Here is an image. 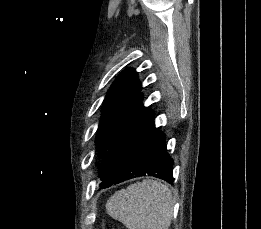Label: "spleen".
<instances>
[{
  "mask_svg": "<svg viewBox=\"0 0 261 229\" xmlns=\"http://www.w3.org/2000/svg\"><path fill=\"white\" fill-rule=\"evenodd\" d=\"M106 211L127 229H169L173 195L163 183L146 179L117 191L108 199Z\"/></svg>",
  "mask_w": 261,
  "mask_h": 229,
  "instance_id": "spleen-1",
  "label": "spleen"
}]
</instances>
